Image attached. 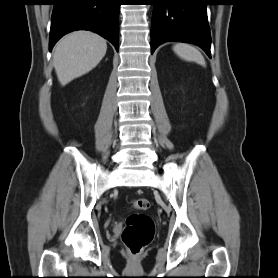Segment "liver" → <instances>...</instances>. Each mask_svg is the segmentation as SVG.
<instances>
[{
    "instance_id": "1",
    "label": "liver",
    "mask_w": 278,
    "mask_h": 278,
    "mask_svg": "<svg viewBox=\"0 0 278 278\" xmlns=\"http://www.w3.org/2000/svg\"><path fill=\"white\" fill-rule=\"evenodd\" d=\"M107 51L106 40L90 31H75L57 43L53 55L58 80L65 86L95 68Z\"/></svg>"
}]
</instances>
